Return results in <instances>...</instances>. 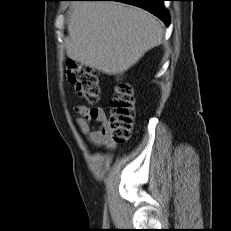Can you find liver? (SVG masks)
<instances>
[{
	"label": "liver",
	"instance_id": "obj_1",
	"mask_svg": "<svg viewBox=\"0 0 231 231\" xmlns=\"http://www.w3.org/2000/svg\"><path fill=\"white\" fill-rule=\"evenodd\" d=\"M67 29L68 57L108 75L127 71L164 38L154 15L117 2L72 3Z\"/></svg>",
	"mask_w": 231,
	"mask_h": 231
}]
</instances>
